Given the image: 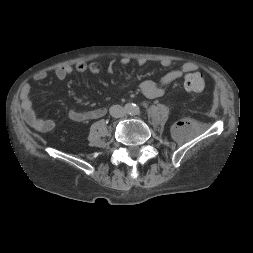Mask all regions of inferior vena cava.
Instances as JSON below:
<instances>
[{
  "label": "inferior vena cava",
  "instance_id": "1",
  "mask_svg": "<svg viewBox=\"0 0 253 253\" xmlns=\"http://www.w3.org/2000/svg\"><path fill=\"white\" fill-rule=\"evenodd\" d=\"M125 112V109L120 105H113L110 107V114L115 118L124 116Z\"/></svg>",
  "mask_w": 253,
  "mask_h": 253
}]
</instances>
